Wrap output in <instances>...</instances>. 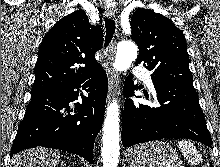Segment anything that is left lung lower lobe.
I'll list each match as a JSON object with an SVG mask.
<instances>
[{"label":"left lung lower lobe","mask_w":220,"mask_h":167,"mask_svg":"<svg viewBox=\"0 0 220 167\" xmlns=\"http://www.w3.org/2000/svg\"><path fill=\"white\" fill-rule=\"evenodd\" d=\"M132 77L129 74L125 80L124 95H131L137 89ZM153 84L159 107L135 105L131 100L124 104L123 146L130 147L163 138H187L212 148V140L194 87L163 81H153Z\"/></svg>","instance_id":"0a47b994"}]
</instances>
